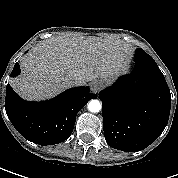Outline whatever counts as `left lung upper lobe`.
<instances>
[{
	"mask_svg": "<svg viewBox=\"0 0 178 178\" xmlns=\"http://www.w3.org/2000/svg\"><path fill=\"white\" fill-rule=\"evenodd\" d=\"M147 53L145 51H143L141 48H137L136 53H135V57L136 56H142V55H146Z\"/></svg>",
	"mask_w": 178,
	"mask_h": 178,
	"instance_id": "5c2ea615",
	"label": "left lung upper lobe"
}]
</instances>
